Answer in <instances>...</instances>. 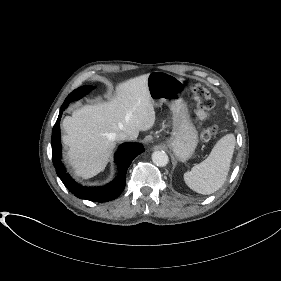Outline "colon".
<instances>
[{"label":"colon","instance_id":"colon-1","mask_svg":"<svg viewBox=\"0 0 281 281\" xmlns=\"http://www.w3.org/2000/svg\"><path fill=\"white\" fill-rule=\"evenodd\" d=\"M191 98L195 101L198 109L203 113H213L215 101L210 92L200 84H194L191 87ZM218 133V127L211 125L206 127L201 133V140L208 142L212 140Z\"/></svg>","mask_w":281,"mask_h":281}]
</instances>
